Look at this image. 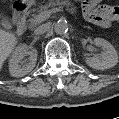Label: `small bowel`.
Here are the masks:
<instances>
[{
  "label": "small bowel",
  "mask_w": 119,
  "mask_h": 119,
  "mask_svg": "<svg viewBox=\"0 0 119 119\" xmlns=\"http://www.w3.org/2000/svg\"><path fill=\"white\" fill-rule=\"evenodd\" d=\"M81 9L87 21L103 28L119 19V7L99 4L96 0L82 1Z\"/></svg>",
  "instance_id": "small-bowel-1"
}]
</instances>
